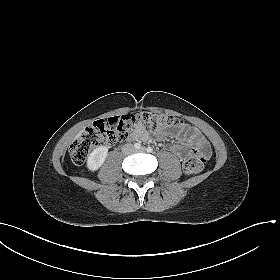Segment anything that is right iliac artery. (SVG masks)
<instances>
[{
  "label": "right iliac artery",
  "instance_id": "82829eb1",
  "mask_svg": "<svg viewBox=\"0 0 280 280\" xmlns=\"http://www.w3.org/2000/svg\"><path fill=\"white\" fill-rule=\"evenodd\" d=\"M134 147H135L136 149H140V148H141V145H140L139 143H135V144H134Z\"/></svg>",
  "mask_w": 280,
  "mask_h": 280
}]
</instances>
